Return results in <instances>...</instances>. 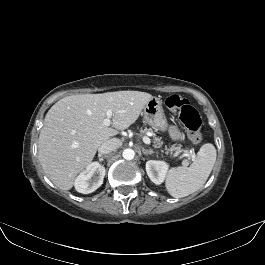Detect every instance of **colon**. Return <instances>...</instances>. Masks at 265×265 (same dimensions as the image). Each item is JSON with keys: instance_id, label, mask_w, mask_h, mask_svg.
Instances as JSON below:
<instances>
[{"instance_id": "colon-1", "label": "colon", "mask_w": 265, "mask_h": 265, "mask_svg": "<svg viewBox=\"0 0 265 265\" xmlns=\"http://www.w3.org/2000/svg\"><path fill=\"white\" fill-rule=\"evenodd\" d=\"M165 104L179 117L190 140L195 144H199L202 141L201 118L195 107L186 98L179 95L169 96L165 100Z\"/></svg>"}]
</instances>
